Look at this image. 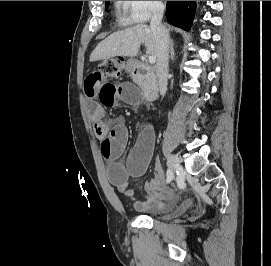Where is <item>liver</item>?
<instances>
[{
    "instance_id": "obj_1",
    "label": "liver",
    "mask_w": 271,
    "mask_h": 266,
    "mask_svg": "<svg viewBox=\"0 0 271 266\" xmlns=\"http://www.w3.org/2000/svg\"><path fill=\"white\" fill-rule=\"evenodd\" d=\"M145 44L146 53L157 57L155 36L149 26H136L115 32L101 41L90 55V61H98L116 56L134 57L140 45Z\"/></svg>"
}]
</instances>
